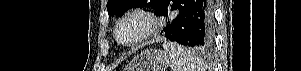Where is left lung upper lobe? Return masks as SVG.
Here are the masks:
<instances>
[{"label":"left lung upper lobe","mask_w":301,"mask_h":71,"mask_svg":"<svg viewBox=\"0 0 301 71\" xmlns=\"http://www.w3.org/2000/svg\"><path fill=\"white\" fill-rule=\"evenodd\" d=\"M164 1L165 0H108L107 10L109 15L121 17L130 8L147 6L148 8H153L157 14L162 8Z\"/></svg>","instance_id":"left-lung-upper-lobe-1"}]
</instances>
